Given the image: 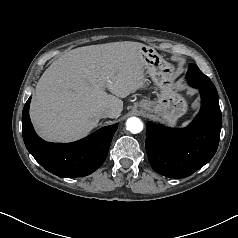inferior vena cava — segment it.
Listing matches in <instances>:
<instances>
[{"label":"inferior vena cava","mask_w":238,"mask_h":238,"mask_svg":"<svg viewBox=\"0 0 238 238\" xmlns=\"http://www.w3.org/2000/svg\"><path fill=\"white\" fill-rule=\"evenodd\" d=\"M112 113L113 112L110 108H101L98 112V114L101 118L111 117Z\"/></svg>","instance_id":"1"}]
</instances>
